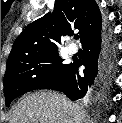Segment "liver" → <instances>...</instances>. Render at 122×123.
<instances>
[{
	"mask_svg": "<svg viewBox=\"0 0 122 123\" xmlns=\"http://www.w3.org/2000/svg\"><path fill=\"white\" fill-rule=\"evenodd\" d=\"M10 123H92L83 108L65 95L36 91L24 96L13 108Z\"/></svg>",
	"mask_w": 122,
	"mask_h": 123,
	"instance_id": "1",
	"label": "liver"
}]
</instances>
